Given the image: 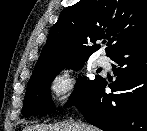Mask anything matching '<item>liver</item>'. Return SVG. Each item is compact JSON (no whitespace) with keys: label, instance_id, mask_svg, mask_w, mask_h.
Here are the masks:
<instances>
[{"label":"liver","instance_id":"1","mask_svg":"<svg viewBox=\"0 0 147 131\" xmlns=\"http://www.w3.org/2000/svg\"><path fill=\"white\" fill-rule=\"evenodd\" d=\"M23 131H99L97 128L90 125L78 122H61L57 124H37L26 126Z\"/></svg>","mask_w":147,"mask_h":131}]
</instances>
